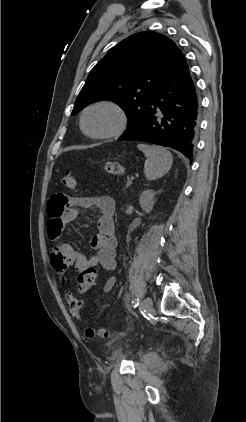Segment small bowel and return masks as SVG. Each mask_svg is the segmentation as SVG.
Listing matches in <instances>:
<instances>
[{
    "mask_svg": "<svg viewBox=\"0 0 246 422\" xmlns=\"http://www.w3.org/2000/svg\"><path fill=\"white\" fill-rule=\"evenodd\" d=\"M88 208H97L100 212L97 223L99 232L91 240V246L96 253L87 257L66 242L58 244L56 249L66 257L69 265L75 266L78 272L98 265L108 272H113L117 266V241L114 224L115 202L111 197H69L62 193L52 195L48 202L49 238L58 241L66 227L80 215L82 210ZM115 284L116 278L109 276L103 284V290L109 292Z\"/></svg>",
    "mask_w": 246,
    "mask_h": 422,
    "instance_id": "obj_1",
    "label": "small bowel"
}]
</instances>
